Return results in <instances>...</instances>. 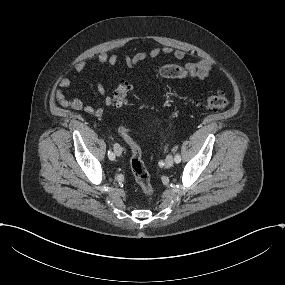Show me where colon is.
<instances>
[{"mask_svg":"<svg viewBox=\"0 0 285 285\" xmlns=\"http://www.w3.org/2000/svg\"><path fill=\"white\" fill-rule=\"evenodd\" d=\"M159 75L163 78L169 79H185L188 77L187 71L175 64H168L161 67L159 69ZM131 89V84L128 81H121L112 94L113 106L121 107L125 105ZM198 104L203 109L221 111L228 107L230 104V98L224 92L217 91L201 100ZM119 133L130 146V168L135 181L145 196H152L154 194V187L151 183L150 174L142 160L140 147L132 137L127 127L120 126Z\"/></svg>","mask_w":285,"mask_h":285,"instance_id":"5ec220e1","label":"colon"}]
</instances>
